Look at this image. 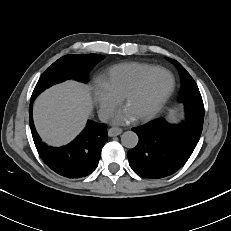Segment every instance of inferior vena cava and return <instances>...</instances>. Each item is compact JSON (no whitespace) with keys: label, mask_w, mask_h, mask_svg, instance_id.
<instances>
[{"label":"inferior vena cava","mask_w":231,"mask_h":231,"mask_svg":"<svg viewBox=\"0 0 231 231\" xmlns=\"http://www.w3.org/2000/svg\"><path fill=\"white\" fill-rule=\"evenodd\" d=\"M110 113L108 112H101L99 114V119L102 121V122H107V120L110 118Z\"/></svg>","instance_id":"obj_1"}]
</instances>
